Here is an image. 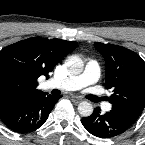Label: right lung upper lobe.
<instances>
[{"label":"right lung upper lobe","instance_id":"right-lung-upper-lobe-1","mask_svg":"<svg viewBox=\"0 0 145 145\" xmlns=\"http://www.w3.org/2000/svg\"><path fill=\"white\" fill-rule=\"evenodd\" d=\"M76 46L75 41L34 37L3 48L0 51V107L46 94L36 89L38 77H48L54 66Z\"/></svg>","mask_w":145,"mask_h":145}]
</instances>
